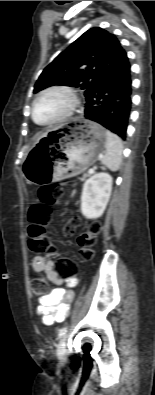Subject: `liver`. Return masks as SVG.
<instances>
[{"label": "liver", "mask_w": 155, "mask_h": 395, "mask_svg": "<svg viewBox=\"0 0 155 395\" xmlns=\"http://www.w3.org/2000/svg\"><path fill=\"white\" fill-rule=\"evenodd\" d=\"M46 135H47V133L41 134V135L37 138L35 144H36L42 137H44V136H46Z\"/></svg>", "instance_id": "obj_1"}]
</instances>
